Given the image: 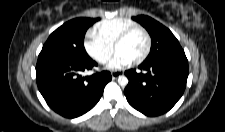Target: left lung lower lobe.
Masks as SVG:
<instances>
[{"mask_svg":"<svg viewBox=\"0 0 225 132\" xmlns=\"http://www.w3.org/2000/svg\"><path fill=\"white\" fill-rule=\"evenodd\" d=\"M136 72H125L129 83L124 94L129 104L147 116L169 111L182 96L189 73L186 56L143 62Z\"/></svg>","mask_w":225,"mask_h":132,"instance_id":"0a47b994","label":"left lung lower lobe"}]
</instances>
